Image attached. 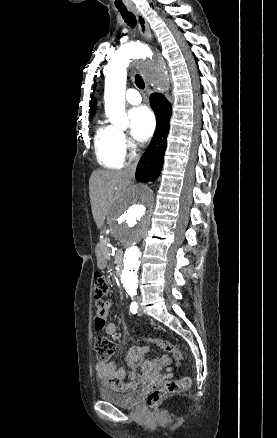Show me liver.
I'll return each mask as SVG.
<instances>
[{"label":"liver","mask_w":277,"mask_h":438,"mask_svg":"<svg viewBox=\"0 0 277 438\" xmlns=\"http://www.w3.org/2000/svg\"><path fill=\"white\" fill-rule=\"evenodd\" d=\"M130 182L129 176L121 170H117V172L95 170L93 172L89 182V190L92 214L97 228H102L105 218L111 210V205H116L115 192L118 193V188H127V184Z\"/></svg>","instance_id":"6515ba94"}]
</instances>
